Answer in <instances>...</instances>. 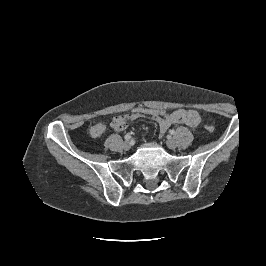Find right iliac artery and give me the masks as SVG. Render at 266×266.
Returning a JSON list of instances; mask_svg holds the SVG:
<instances>
[{
  "mask_svg": "<svg viewBox=\"0 0 266 266\" xmlns=\"http://www.w3.org/2000/svg\"><path fill=\"white\" fill-rule=\"evenodd\" d=\"M124 139H125V140H130V139H131V135H130V134H126V135L124 136Z\"/></svg>",
  "mask_w": 266,
  "mask_h": 266,
  "instance_id": "obj_1",
  "label": "right iliac artery"
}]
</instances>
